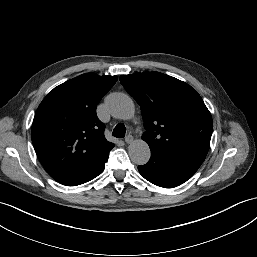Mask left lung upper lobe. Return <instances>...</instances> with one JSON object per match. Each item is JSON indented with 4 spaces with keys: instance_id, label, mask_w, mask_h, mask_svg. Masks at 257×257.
Wrapping results in <instances>:
<instances>
[{
    "instance_id": "left-lung-upper-lobe-1",
    "label": "left lung upper lobe",
    "mask_w": 257,
    "mask_h": 257,
    "mask_svg": "<svg viewBox=\"0 0 257 257\" xmlns=\"http://www.w3.org/2000/svg\"><path fill=\"white\" fill-rule=\"evenodd\" d=\"M120 82L141 107L151 151L208 153L212 117L190 85L160 72L122 75Z\"/></svg>"
}]
</instances>
